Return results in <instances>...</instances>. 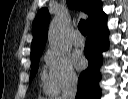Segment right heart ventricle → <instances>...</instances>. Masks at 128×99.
Segmentation results:
<instances>
[{
  "instance_id": "1",
  "label": "right heart ventricle",
  "mask_w": 128,
  "mask_h": 99,
  "mask_svg": "<svg viewBox=\"0 0 128 99\" xmlns=\"http://www.w3.org/2000/svg\"><path fill=\"white\" fill-rule=\"evenodd\" d=\"M41 81H42V86H43V90L47 93V94H53L55 92L52 83L50 81L49 75L47 73H43L41 76Z\"/></svg>"
}]
</instances>
